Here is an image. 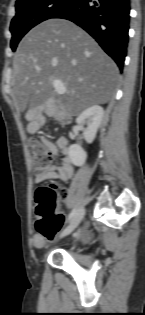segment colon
<instances>
[{
	"label": "colon",
	"mask_w": 145,
	"mask_h": 315,
	"mask_svg": "<svg viewBox=\"0 0 145 315\" xmlns=\"http://www.w3.org/2000/svg\"><path fill=\"white\" fill-rule=\"evenodd\" d=\"M33 167L36 173L47 170L52 161V154L43 140H30ZM36 201V230L45 239H52L65 222L64 215L58 211L56 186L39 187L35 192Z\"/></svg>",
	"instance_id": "5ec220e1"
}]
</instances>
